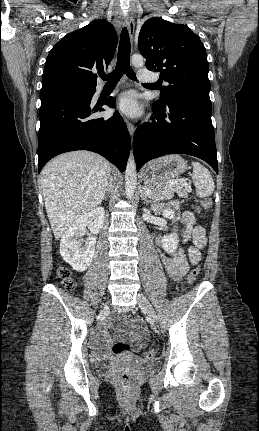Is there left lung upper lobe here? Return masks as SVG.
Here are the masks:
<instances>
[{
  "label": "left lung upper lobe",
  "mask_w": 259,
  "mask_h": 431,
  "mask_svg": "<svg viewBox=\"0 0 259 431\" xmlns=\"http://www.w3.org/2000/svg\"><path fill=\"white\" fill-rule=\"evenodd\" d=\"M138 48L146 67L169 83L161 88L158 101L176 96L210 101L206 50L188 26L150 18L141 27Z\"/></svg>",
  "instance_id": "obj_1"
}]
</instances>
